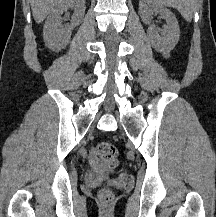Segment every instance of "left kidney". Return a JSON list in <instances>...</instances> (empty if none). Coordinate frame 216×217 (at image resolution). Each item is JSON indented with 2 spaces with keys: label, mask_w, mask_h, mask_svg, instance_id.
<instances>
[{
  "label": "left kidney",
  "mask_w": 216,
  "mask_h": 217,
  "mask_svg": "<svg viewBox=\"0 0 216 217\" xmlns=\"http://www.w3.org/2000/svg\"><path fill=\"white\" fill-rule=\"evenodd\" d=\"M139 13L142 22L146 24H150L153 13H158L161 18L165 19L166 26L163 30L160 31L151 25L147 30V35L156 51L164 55L168 54L176 46L180 37V29L175 15L154 0H140Z\"/></svg>",
  "instance_id": "1"
}]
</instances>
